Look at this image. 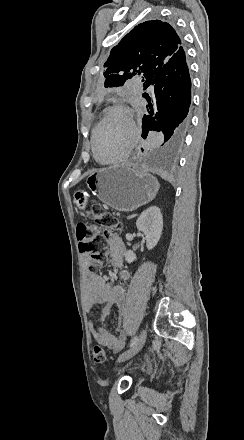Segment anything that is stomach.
<instances>
[{"mask_svg": "<svg viewBox=\"0 0 244 440\" xmlns=\"http://www.w3.org/2000/svg\"><path fill=\"white\" fill-rule=\"evenodd\" d=\"M86 184L93 196L119 212H133L152 202L159 190L158 180L148 170L133 166L101 168L88 176ZM89 196L85 190L75 192L77 210H85Z\"/></svg>", "mask_w": 244, "mask_h": 440, "instance_id": "1", "label": "stomach"}]
</instances>
